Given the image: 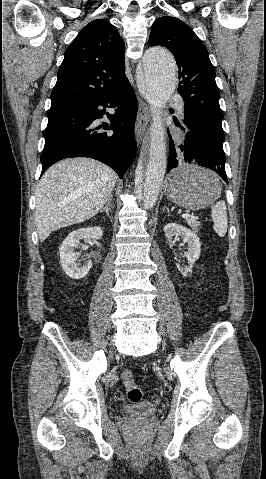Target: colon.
<instances>
[{
	"mask_svg": "<svg viewBox=\"0 0 266 479\" xmlns=\"http://www.w3.org/2000/svg\"><path fill=\"white\" fill-rule=\"evenodd\" d=\"M121 379L128 393L127 397L130 402H139L142 399L141 389L136 385L134 381V375L131 371L126 370L122 372Z\"/></svg>",
	"mask_w": 266,
	"mask_h": 479,
	"instance_id": "1",
	"label": "colon"
}]
</instances>
